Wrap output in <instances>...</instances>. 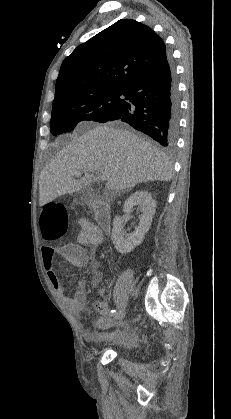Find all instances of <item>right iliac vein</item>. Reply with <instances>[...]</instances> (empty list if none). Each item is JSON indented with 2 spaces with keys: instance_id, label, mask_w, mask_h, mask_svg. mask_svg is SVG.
Returning <instances> with one entry per match:
<instances>
[{
  "instance_id": "1",
  "label": "right iliac vein",
  "mask_w": 231,
  "mask_h": 419,
  "mask_svg": "<svg viewBox=\"0 0 231 419\" xmlns=\"http://www.w3.org/2000/svg\"><path fill=\"white\" fill-rule=\"evenodd\" d=\"M125 315H126V310L125 309H122L119 312H117V314L115 315L114 319L116 321H120V320H122L125 317Z\"/></svg>"
}]
</instances>
